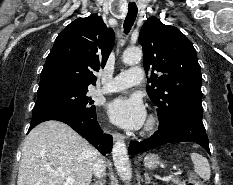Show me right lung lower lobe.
<instances>
[{"mask_svg": "<svg viewBox=\"0 0 233 185\" xmlns=\"http://www.w3.org/2000/svg\"><path fill=\"white\" fill-rule=\"evenodd\" d=\"M48 120H58L68 124L103 155L110 153L112 150V136L103 134L96 120V113L88 115L83 112L56 107L33 108L29 131L39 123Z\"/></svg>", "mask_w": 233, "mask_h": 185, "instance_id": "right-lung-lower-lobe-1", "label": "right lung lower lobe"}]
</instances>
